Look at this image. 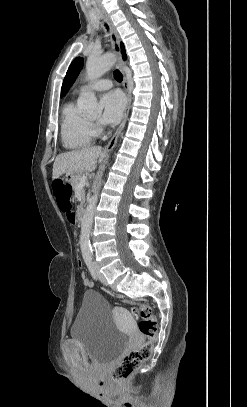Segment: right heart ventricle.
<instances>
[{
	"label": "right heart ventricle",
	"mask_w": 247,
	"mask_h": 407,
	"mask_svg": "<svg viewBox=\"0 0 247 407\" xmlns=\"http://www.w3.org/2000/svg\"><path fill=\"white\" fill-rule=\"evenodd\" d=\"M60 133L63 146L71 150L89 146L94 138L92 126L74 101L66 103L62 109Z\"/></svg>",
	"instance_id": "e07e8e85"
}]
</instances>
